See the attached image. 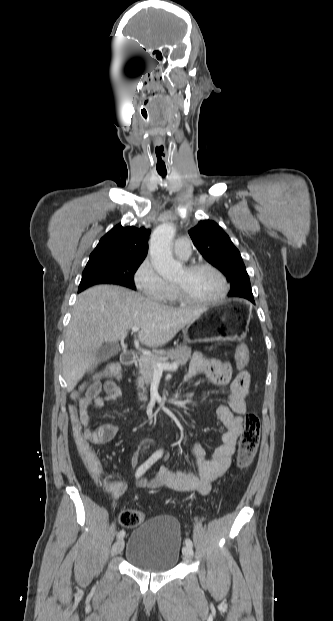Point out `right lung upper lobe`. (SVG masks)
<instances>
[{"mask_svg":"<svg viewBox=\"0 0 333 621\" xmlns=\"http://www.w3.org/2000/svg\"><path fill=\"white\" fill-rule=\"evenodd\" d=\"M150 230L118 224L101 238L89 261L125 259L143 261L148 252Z\"/></svg>","mask_w":333,"mask_h":621,"instance_id":"cb5924a9","label":"right lung upper lobe"}]
</instances>
